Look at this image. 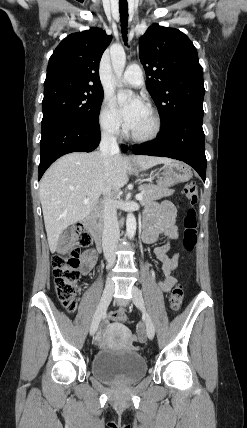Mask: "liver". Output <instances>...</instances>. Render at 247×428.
Segmentation results:
<instances>
[{
  "label": "liver",
  "mask_w": 247,
  "mask_h": 428,
  "mask_svg": "<svg viewBox=\"0 0 247 428\" xmlns=\"http://www.w3.org/2000/svg\"><path fill=\"white\" fill-rule=\"evenodd\" d=\"M174 160L146 155H114L108 175H104L101 152L70 153L50 166L41 179L39 198L50 251L58 249L63 231L86 218L106 189L116 191L128 183L129 174H138L157 164ZM88 198L89 203L84 204Z\"/></svg>",
  "instance_id": "6515ba94"
}]
</instances>
